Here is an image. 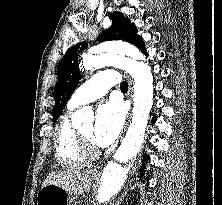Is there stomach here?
Segmentation results:
<instances>
[{
    "instance_id": "1",
    "label": "stomach",
    "mask_w": 222,
    "mask_h": 205,
    "mask_svg": "<svg viewBox=\"0 0 222 205\" xmlns=\"http://www.w3.org/2000/svg\"><path fill=\"white\" fill-rule=\"evenodd\" d=\"M36 202L37 205H74V197L60 186L49 184L39 190Z\"/></svg>"
}]
</instances>
